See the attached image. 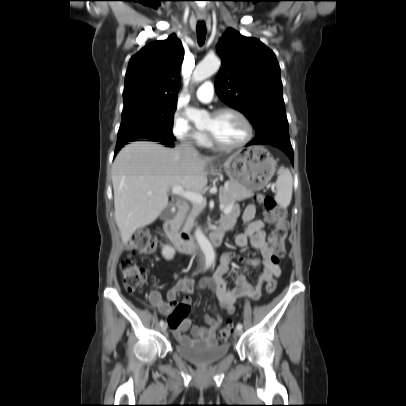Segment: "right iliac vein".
Returning <instances> with one entry per match:
<instances>
[{"instance_id": "1", "label": "right iliac vein", "mask_w": 406, "mask_h": 406, "mask_svg": "<svg viewBox=\"0 0 406 406\" xmlns=\"http://www.w3.org/2000/svg\"><path fill=\"white\" fill-rule=\"evenodd\" d=\"M166 329H167V324H163V325L161 326V331H162V332H165Z\"/></svg>"}]
</instances>
